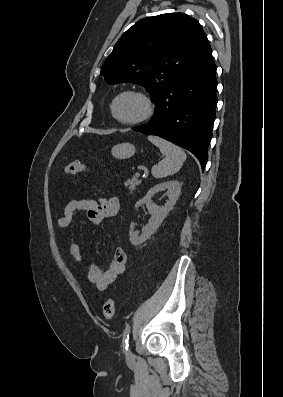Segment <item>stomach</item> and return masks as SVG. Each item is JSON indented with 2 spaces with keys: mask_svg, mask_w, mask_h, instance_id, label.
<instances>
[{
  "mask_svg": "<svg viewBox=\"0 0 283 397\" xmlns=\"http://www.w3.org/2000/svg\"><path fill=\"white\" fill-rule=\"evenodd\" d=\"M112 156L116 159H127L135 154V146L131 143H121L113 146Z\"/></svg>",
  "mask_w": 283,
  "mask_h": 397,
  "instance_id": "1",
  "label": "stomach"
}]
</instances>
